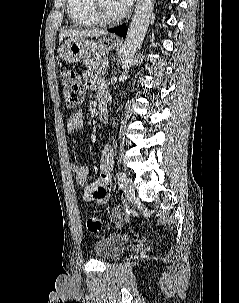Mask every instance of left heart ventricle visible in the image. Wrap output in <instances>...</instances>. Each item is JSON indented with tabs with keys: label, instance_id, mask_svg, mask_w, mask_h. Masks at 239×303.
Listing matches in <instances>:
<instances>
[{
	"label": "left heart ventricle",
	"instance_id": "left-heart-ventricle-1",
	"mask_svg": "<svg viewBox=\"0 0 239 303\" xmlns=\"http://www.w3.org/2000/svg\"><path fill=\"white\" fill-rule=\"evenodd\" d=\"M102 5L109 15L115 16L122 13V9L119 8L114 0H102Z\"/></svg>",
	"mask_w": 239,
	"mask_h": 303
}]
</instances>
